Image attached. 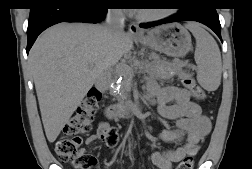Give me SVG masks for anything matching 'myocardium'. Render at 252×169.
Returning <instances> with one entry per match:
<instances>
[{"label":"myocardium","instance_id":"f54148a6","mask_svg":"<svg viewBox=\"0 0 252 169\" xmlns=\"http://www.w3.org/2000/svg\"><path fill=\"white\" fill-rule=\"evenodd\" d=\"M167 15L166 11H161L158 13L148 14V13H136V17L141 21H155L164 18Z\"/></svg>","mask_w":252,"mask_h":169}]
</instances>
